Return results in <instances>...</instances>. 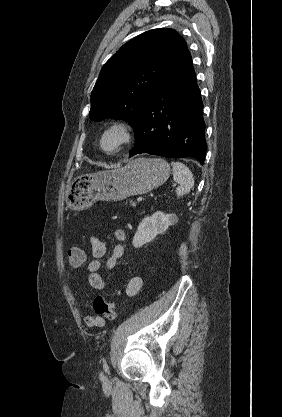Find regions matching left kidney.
<instances>
[{"label": "left kidney", "mask_w": 282, "mask_h": 417, "mask_svg": "<svg viewBox=\"0 0 282 417\" xmlns=\"http://www.w3.org/2000/svg\"><path fill=\"white\" fill-rule=\"evenodd\" d=\"M177 215L171 213L166 215L162 211H156L152 217H145L138 225V229L133 237L132 245L135 249H140L146 243H151L157 235H162L171 225H176Z\"/></svg>", "instance_id": "5707ae66"}]
</instances>
